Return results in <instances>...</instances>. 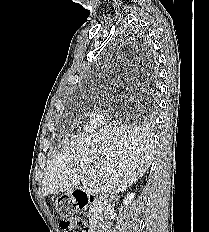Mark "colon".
Segmentation results:
<instances>
[{
  "label": "colon",
  "mask_w": 209,
  "mask_h": 232,
  "mask_svg": "<svg viewBox=\"0 0 209 232\" xmlns=\"http://www.w3.org/2000/svg\"><path fill=\"white\" fill-rule=\"evenodd\" d=\"M60 227L64 232H89L86 222L79 217L76 221H67V219L61 221Z\"/></svg>",
  "instance_id": "obj_1"
}]
</instances>
